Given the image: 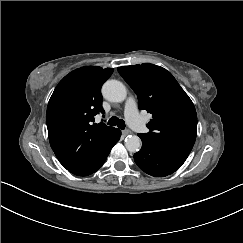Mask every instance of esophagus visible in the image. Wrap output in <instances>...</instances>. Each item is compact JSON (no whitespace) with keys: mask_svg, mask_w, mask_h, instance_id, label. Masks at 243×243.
Here are the masks:
<instances>
[{"mask_svg":"<svg viewBox=\"0 0 243 243\" xmlns=\"http://www.w3.org/2000/svg\"><path fill=\"white\" fill-rule=\"evenodd\" d=\"M129 134H132V131H130V130H123L122 131V136H127Z\"/></svg>","mask_w":243,"mask_h":243,"instance_id":"1","label":"esophagus"}]
</instances>
